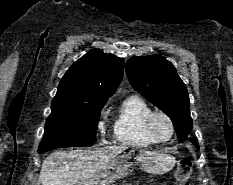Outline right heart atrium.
Segmentation results:
<instances>
[{
	"label": "right heart atrium",
	"mask_w": 233,
	"mask_h": 185,
	"mask_svg": "<svg viewBox=\"0 0 233 185\" xmlns=\"http://www.w3.org/2000/svg\"><path fill=\"white\" fill-rule=\"evenodd\" d=\"M96 128L99 134L102 137H104L106 134L107 126H106L105 115L103 113L100 115L99 119L97 120Z\"/></svg>",
	"instance_id": "d8ad5b80"
}]
</instances>
